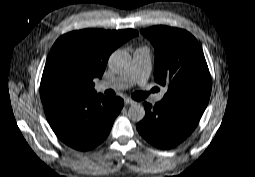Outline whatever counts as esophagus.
<instances>
[{
    "mask_svg": "<svg viewBox=\"0 0 255 177\" xmlns=\"http://www.w3.org/2000/svg\"><path fill=\"white\" fill-rule=\"evenodd\" d=\"M124 101H125L126 105H132V104H136L137 103L135 100H133V99H131L129 97H126Z\"/></svg>",
    "mask_w": 255,
    "mask_h": 177,
    "instance_id": "obj_1",
    "label": "esophagus"
}]
</instances>
